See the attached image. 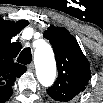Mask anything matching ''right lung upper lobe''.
<instances>
[{
	"label": "right lung upper lobe",
	"instance_id": "obj_1",
	"mask_svg": "<svg viewBox=\"0 0 103 103\" xmlns=\"http://www.w3.org/2000/svg\"><path fill=\"white\" fill-rule=\"evenodd\" d=\"M29 24L26 20L11 22L0 19V93L10 96L15 78L20 77L26 67L14 62V58L20 51L19 43H11L13 36L17 35Z\"/></svg>",
	"mask_w": 103,
	"mask_h": 103
}]
</instances>
